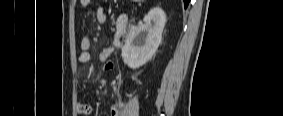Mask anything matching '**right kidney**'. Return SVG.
Masks as SVG:
<instances>
[{"mask_svg":"<svg viewBox=\"0 0 283 116\" xmlns=\"http://www.w3.org/2000/svg\"><path fill=\"white\" fill-rule=\"evenodd\" d=\"M143 21L144 24L130 31L122 47L123 61L132 69L144 65L157 51L162 41L166 15L160 7H155Z\"/></svg>","mask_w":283,"mask_h":116,"instance_id":"obj_1","label":"right kidney"}]
</instances>
